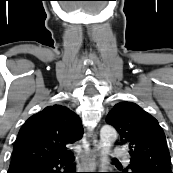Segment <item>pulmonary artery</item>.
<instances>
[{
    "instance_id": "e3ab8cb5",
    "label": "pulmonary artery",
    "mask_w": 173,
    "mask_h": 173,
    "mask_svg": "<svg viewBox=\"0 0 173 173\" xmlns=\"http://www.w3.org/2000/svg\"><path fill=\"white\" fill-rule=\"evenodd\" d=\"M112 155L115 157H126V151L121 147H115L112 149Z\"/></svg>"
}]
</instances>
